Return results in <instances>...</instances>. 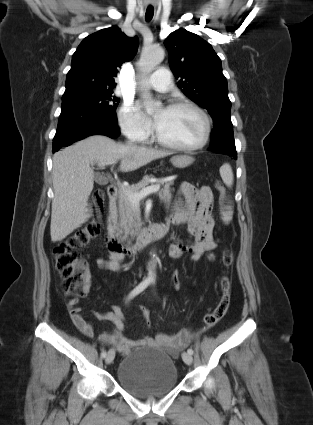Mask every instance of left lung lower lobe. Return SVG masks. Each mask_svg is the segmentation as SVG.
<instances>
[{"instance_id":"left-lung-lower-lobe-1","label":"left lung lower lobe","mask_w":313,"mask_h":425,"mask_svg":"<svg viewBox=\"0 0 313 425\" xmlns=\"http://www.w3.org/2000/svg\"><path fill=\"white\" fill-rule=\"evenodd\" d=\"M210 151L237 158L234 135L232 127L214 128L211 135Z\"/></svg>"}]
</instances>
